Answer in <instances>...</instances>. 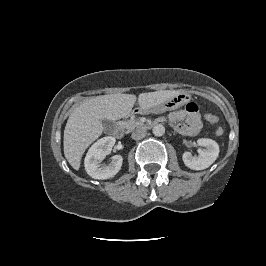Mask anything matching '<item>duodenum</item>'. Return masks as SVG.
I'll use <instances>...</instances> for the list:
<instances>
[{
	"mask_svg": "<svg viewBox=\"0 0 266 266\" xmlns=\"http://www.w3.org/2000/svg\"><path fill=\"white\" fill-rule=\"evenodd\" d=\"M138 113L137 111H134L133 114H136ZM124 134V125L123 123H118L116 126H115V130H114V135L115 137L117 138H121Z\"/></svg>",
	"mask_w": 266,
	"mask_h": 266,
	"instance_id": "duodenum-1",
	"label": "duodenum"
}]
</instances>
